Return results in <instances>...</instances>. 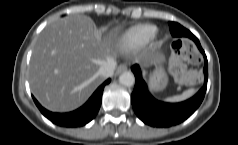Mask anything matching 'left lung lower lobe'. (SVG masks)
<instances>
[{
  "instance_id": "obj_1",
  "label": "left lung lower lobe",
  "mask_w": 238,
  "mask_h": 145,
  "mask_svg": "<svg viewBox=\"0 0 238 145\" xmlns=\"http://www.w3.org/2000/svg\"><path fill=\"white\" fill-rule=\"evenodd\" d=\"M170 31L174 37H188L196 43L205 60V81L203 87L192 98L181 103H165L152 97L142 79L139 66H132L131 69L136 78L135 87L131 94L134 112L145 124L153 127H171L185 121L200 106L207 89L208 62L199 40L189 30L175 22H170Z\"/></svg>"
}]
</instances>
